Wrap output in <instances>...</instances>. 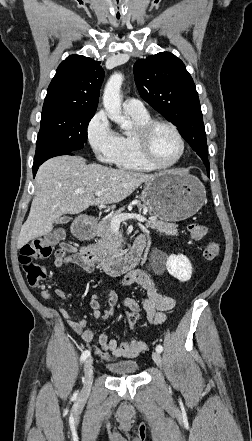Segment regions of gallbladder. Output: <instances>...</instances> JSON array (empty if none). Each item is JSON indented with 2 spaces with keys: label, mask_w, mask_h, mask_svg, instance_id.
<instances>
[{
  "label": "gallbladder",
  "mask_w": 252,
  "mask_h": 441,
  "mask_svg": "<svg viewBox=\"0 0 252 441\" xmlns=\"http://www.w3.org/2000/svg\"><path fill=\"white\" fill-rule=\"evenodd\" d=\"M70 220H71V217H69V216H63V217L58 218V219L55 221V223H56V224H65V223H68Z\"/></svg>",
  "instance_id": "bac80fb5"
}]
</instances>
